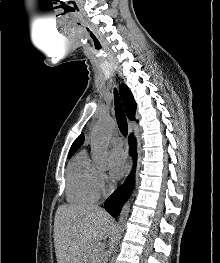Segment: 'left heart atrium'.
<instances>
[{
	"instance_id": "39dd6f15",
	"label": "left heart atrium",
	"mask_w": 220,
	"mask_h": 263,
	"mask_svg": "<svg viewBox=\"0 0 220 263\" xmlns=\"http://www.w3.org/2000/svg\"><path fill=\"white\" fill-rule=\"evenodd\" d=\"M109 172L112 178H121L127 170L128 159L121 149L112 150L108 157Z\"/></svg>"
}]
</instances>
